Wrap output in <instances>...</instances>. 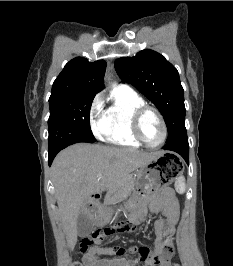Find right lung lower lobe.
<instances>
[{"instance_id":"98d812e1","label":"right lung lower lobe","mask_w":233,"mask_h":266,"mask_svg":"<svg viewBox=\"0 0 233 266\" xmlns=\"http://www.w3.org/2000/svg\"><path fill=\"white\" fill-rule=\"evenodd\" d=\"M60 150L58 151H54V152H49V159H48V162H49V166L51 165L54 157L56 156V154L59 152Z\"/></svg>"}]
</instances>
